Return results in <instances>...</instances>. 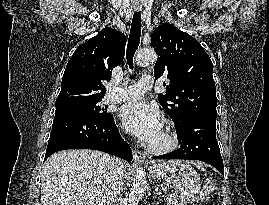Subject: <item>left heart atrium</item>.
<instances>
[{
	"label": "left heart atrium",
	"mask_w": 269,
	"mask_h": 205,
	"mask_svg": "<svg viewBox=\"0 0 269 205\" xmlns=\"http://www.w3.org/2000/svg\"><path fill=\"white\" fill-rule=\"evenodd\" d=\"M122 126L142 141L152 143L162 129L157 107L143 101L123 105L119 112Z\"/></svg>",
	"instance_id": "obj_1"
}]
</instances>
